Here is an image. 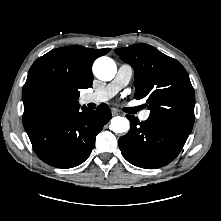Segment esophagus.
<instances>
[{
  "instance_id": "34e87169",
  "label": "esophagus",
  "mask_w": 221,
  "mask_h": 221,
  "mask_svg": "<svg viewBox=\"0 0 221 221\" xmlns=\"http://www.w3.org/2000/svg\"><path fill=\"white\" fill-rule=\"evenodd\" d=\"M112 114L115 115H119L120 111H118L117 109H112Z\"/></svg>"
}]
</instances>
